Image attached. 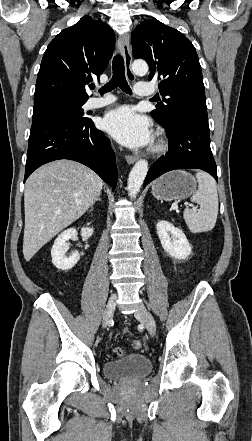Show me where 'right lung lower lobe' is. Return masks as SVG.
Returning <instances> with one entry per match:
<instances>
[{"label": "right lung lower lobe", "mask_w": 252, "mask_h": 441, "mask_svg": "<svg viewBox=\"0 0 252 441\" xmlns=\"http://www.w3.org/2000/svg\"><path fill=\"white\" fill-rule=\"evenodd\" d=\"M59 159L80 162L116 186L118 171L110 141L89 118L75 123L58 119L32 122L24 182L41 165Z\"/></svg>", "instance_id": "right-lung-lower-lobe-1"}]
</instances>
